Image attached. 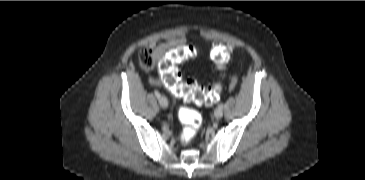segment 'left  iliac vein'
I'll use <instances>...</instances> for the list:
<instances>
[{
  "label": "left iliac vein",
  "instance_id": "left-iliac-vein-1",
  "mask_svg": "<svg viewBox=\"0 0 365 180\" xmlns=\"http://www.w3.org/2000/svg\"><path fill=\"white\" fill-rule=\"evenodd\" d=\"M214 116L216 119H220L223 116V110L221 108L215 109Z\"/></svg>",
  "mask_w": 365,
  "mask_h": 180
}]
</instances>
